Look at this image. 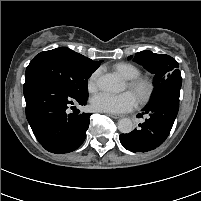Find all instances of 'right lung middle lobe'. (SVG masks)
<instances>
[{
	"label": "right lung middle lobe",
	"instance_id": "1",
	"mask_svg": "<svg viewBox=\"0 0 201 201\" xmlns=\"http://www.w3.org/2000/svg\"><path fill=\"white\" fill-rule=\"evenodd\" d=\"M94 71L76 64L65 47L39 53L26 68L25 78L39 75L59 83L72 96L87 99V79Z\"/></svg>",
	"mask_w": 201,
	"mask_h": 201
}]
</instances>
